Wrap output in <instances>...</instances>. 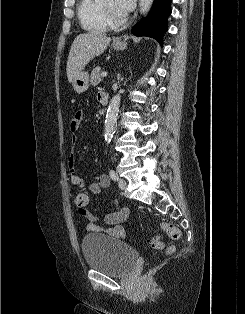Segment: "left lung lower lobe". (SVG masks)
I'll return each mask as SVG.
<instances>
[{
	"label": "left lung lower lobe",
	"instance_id": "left-lung-lower-lobe-1",
	"mask_svg": "<svg viewBox=\"0 0 245 314\" xmlns=\"http://www.w3.org/2000/svg\"><path fill=\"white\" fill-rule=\"evenodd\" d=\"M171 14V0H154L146 18L135 24L132 33L136 36L155 38L162 45V37L167 31V19Z\"/></svg>",
	"mask_w": 245,
	"mask_h": 314
}]
</instances>
